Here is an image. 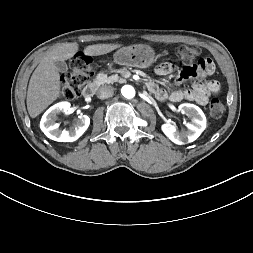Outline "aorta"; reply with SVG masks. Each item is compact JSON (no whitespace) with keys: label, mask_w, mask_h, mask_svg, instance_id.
I'll use <instances>...</instances> for the list:
<instances>
[{"label":"aorta","mask_w":253,"mask_h":253,"mask_svg":"<svg viewBox=\"0 0 253 253\" xmlns=\"http://www.w3.org/2000/svg\"><path fill=\"white\" fill-rule=\"evenodd\" d=\"M121 93L125 98L131 99L135 96V89L131 85H125L122 87Z\"/></svg>","instance_id":"aorta-1"}]
</instances>
